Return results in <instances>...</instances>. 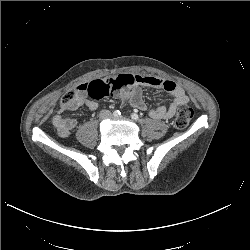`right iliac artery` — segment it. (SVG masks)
<instances>
[{
    "label": "right iliac artery",
    "instance_id": "1",
    "mask_svg": "<svg viewBox=\"0 0 250 250\" xmlns=\"http://www.w3.org/2000/svg\"><path fill=\"white\" fill-rule=\"evenodd\" d=\"M113 115H114L115 117H118V116L121 115V112H120L119 110H115V111L113 112Z\"/></svg>",
    "mask_w": 250,
    "mask_h": 250
}]
</instances>
